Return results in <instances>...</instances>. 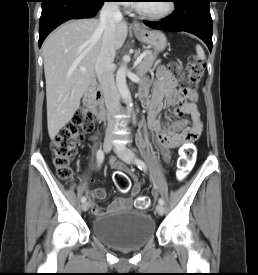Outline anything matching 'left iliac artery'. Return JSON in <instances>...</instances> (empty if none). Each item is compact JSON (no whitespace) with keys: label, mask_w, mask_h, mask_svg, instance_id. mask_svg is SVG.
Instances as JSON below:
<instances>
[{"label":"left iliac artery","mask_w":258,"mask_h":275,"mask_svg":"<svg viewBox=\"0 0 258 275\" xmlns=\"http://www.w3.org/2000/svg\"><path fill=\"white\" fill-rule=\"evenodd\" d=\"M137 167L140 169V170H143L145 171L147 169V166L146 164L144 163V161L140 160V159H136L135 161ZM159 204H164V200L162 198L159 199Z\"/></svg>","instance_id":"44dca946"}]
</instances>
